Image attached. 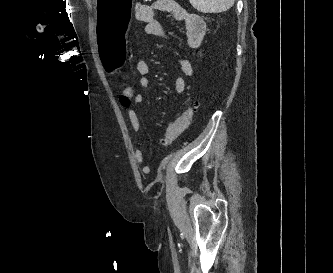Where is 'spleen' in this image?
Instances as JSON below:
<instances>
[{
  "instance_id": "1",
  "label": "spleen",
  "mask_w": 333,
  "mask_h": 273,
  "mask_svg": "<svg viewBox=\"0 0 333 273\" xmlns=\"http://www.w3.org/2000/svg\"><path fill=\"white\" fill-rule=\"evenodd\" d=\"M191 5L202 13H219L230 9L235 0H189Z\"/></svg>"
}]
</instances>
